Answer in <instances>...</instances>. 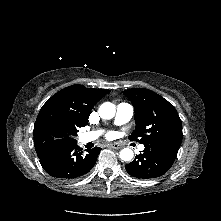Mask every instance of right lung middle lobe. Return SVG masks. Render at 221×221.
Listing matches in <instances>:
<instances>
[{"label":"right lung middle lobe","instance_id":"dd1d6c3e","mask_svg":"<svg viewBox=\"0 0 221 221\" xmlns=\"http://www.w3.org/2000/svg\"><path fill=\"white\" fill-rule=\"evenodd\" d=\"M72 122L44 118L35 123L34 144L36 152H43L76 143L77 128Z\"/></svg>","mask_w":221,"mask_h":221}]
</instances>
